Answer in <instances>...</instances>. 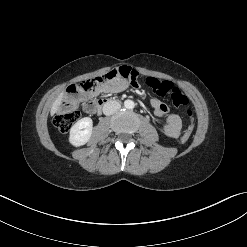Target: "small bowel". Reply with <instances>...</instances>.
<instances>
[{"instance_id": "small-bowel-1", "label": "small bowel", "mask_w": 247, "mask_h": 247, "mask_svg": "<svg viewBox=\"0 0 247 247\" xmlns=\"http://www.w3.org/2000/svg\"><path fill=\"white\" fill-rule=\"evenodd\" d=\"M125 68L131 70L128 67ZM130 85L134 87L137 86L131 81L130 78L119 76L113 80L108 81L99 91L104 93H119L126 90ZM150 103L154 108L155 114L157 116H164L169 111L167 105L156 98H152ZM95 108V103L92 101H87L84 103V109L88 113H93ZM181 129L182 120L180 116L178 114H170L163 125L164 134L171 138H177L181 133Z\"/></svg>"}]
</instances>
